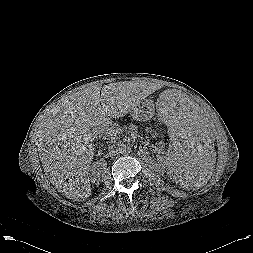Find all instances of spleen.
I'll return each mask as SVG.
<instances>
[{
	"mask_svg": "<svg viewBox=\"0 0 253 253\" xmlns=\"http://www.w3.org/2000/svg\"><path fill=\"white\" fill-rule=\"evenodd\" d=\"M156 113L172 143L167 165L182 188H199L211 174L216 131L210 116L178 91L163 93Z\"/></svg>",
	"mask_w": 253,
	"mask_h": 253,
	"instance_id": "1",
	"label": "spleen"
}]
</instances>
